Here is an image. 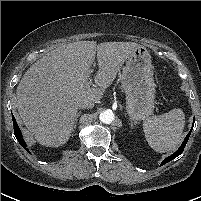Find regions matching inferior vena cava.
<instances>
[{
  "label": "inferior vena cava",
  "instance_id": "obj_1",
  "mask_svg": "<svg viewBox=\"0 0 201 201\" xmlns=\"http://www.w3.org/2000/svg\"><path fill=\"white\" fill-rule=\"evenodd\" d=\"M94 104L95 102L92 99L84 98L80 100V102L78 103V107L80 109H88V108H93Z\"/></svg>",
  "mask_w": 201,
  "mask_h": 201
}]
</instances>
